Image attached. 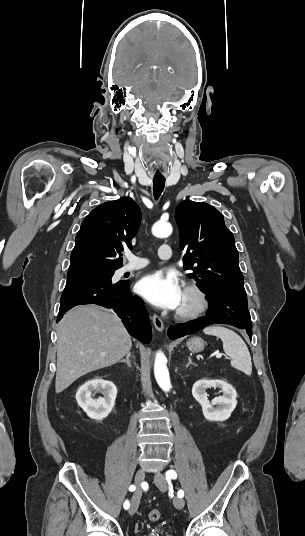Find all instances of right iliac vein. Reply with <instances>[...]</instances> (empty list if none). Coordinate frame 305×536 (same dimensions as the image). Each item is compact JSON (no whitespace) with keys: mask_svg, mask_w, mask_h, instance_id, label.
I'll use <instances>...</instances> for the list:
<instances>
[{"mask_svg":"<svg viewBox=\"0 0 305 536\" xmlns=\"http://www.w3.org/2000/svg\"><path fill=\"white\" fill-rule=\"evenodd\" d=\"M144 477H145V475H144V472L142 470L138 471L135 474V484L137 485V489L134 492V494L132 496V499H131V507H130V514L131 515L135 514L137 509H138L140 499H141L140 485L144 481Z\"/></svg>","mask_w":305,"mask_h":536,"instance_id":"1","label":"right iliac vein"}]
</instances>
